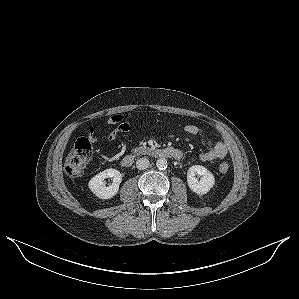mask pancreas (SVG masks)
Segmentation results:
<instances>
[{
    "mask_svg": "<svg viewBox=\"0 0 299 299\" xmlns=\"http://www.w3.org/2000/svg\"><path fill=\"white\" fill-rule=\"evenodd\" d=\"M150 150L151 149L146 146H139L133 149L132 151L134 152V154L140 155V154H147Z\"/></svg>",
    "mask_w": 299,
    "mask_h": 299,
    "instance_id": "obj_1",
    "label": "pancreas"
}]
</instances>
